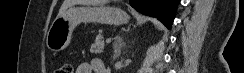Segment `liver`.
I'll return each mask as SVG.
<instances>
[{
    "label": "liver",
    "instance_id": "obj_1",
    "mask_svg": "<svg viewBox=\"0 0 244 73\" xmlns=\"http://www.w3.org/2000/svg\"><path fill=\"white\" fill-rule=\"evenodd\" d=\"M101 3H102L101 0H64L57 17L62 15L69 7L76 5V4L98 5Z\"/></svg>",
    "mask_w": 244,
    "mask_h": 73
}]
</instances>
